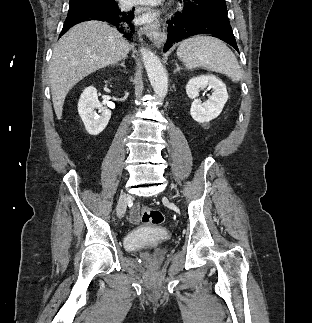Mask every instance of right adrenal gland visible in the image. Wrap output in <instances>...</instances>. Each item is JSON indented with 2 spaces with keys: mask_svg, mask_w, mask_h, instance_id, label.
Returning a JSON list of instances; mask_svg holds the SVG:
<instances>
[{
  "mask_svg": "<svg viewBox=\"0 0 312 323\" xmlns=\"http://www.w3.org/2000/svg\"><path fill=\"white\" fill-rule=\"evenodd\" d=\"M125 60H126V58H124V60H123V62H121V64H115V66H123V68H126Z\"/></svg>",
  "mask_w": 312,
  "mask_h": 323,
  "instance_id": "obj_1",
  "label": "right adrenal gland"
}]
</instances>
